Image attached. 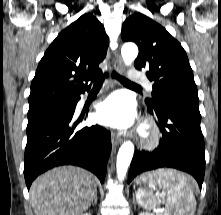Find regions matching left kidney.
<instances>
[{"instance_id":"left-kidney-1","label":"left kidney","mask_w":221,"mask_h":215,"mask_svg":"<svg viewBox=\"0 0 221 215\" xmlns=\"http://www.w3.org/2000/svg\"><path fill=\"white\" fill-rule=\"evenodd\" d=\"M139 215H154V214L148 213V212H141V213H139Z\"/></svg>"}]
</instances>
